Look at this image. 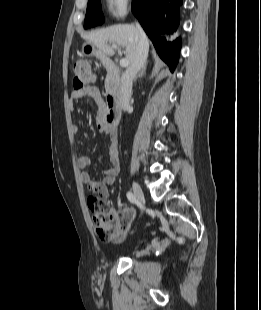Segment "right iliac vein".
Listing matches in <instances>:
<instances>
[{"label":"right iliac vein","instance_id":"1","mask_svg":"<svg viewBox=\"0 0 261 310\" xmlns=\"http://www.w3.org/2000/svg\"><path fill=\"white\" fill-rule=\"evenodd\" d=\"M132 188H133V192L135 194V197L137 198V201L141 209H143L145 206V198H144V194H143L141 187L139 186L138 183L133 182Z\"/></svg>","mask_w":261,"mask_h":310}]
</instances>
